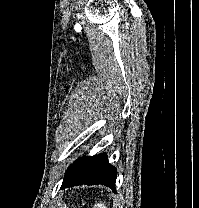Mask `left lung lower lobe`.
Masks as SVG:
<instances>
[{
  "label": "left lung lower lobe",
  "mask_w": 199,
  "mask_h": 208,
  "mask_svg": "<svg viewBox=\"0 0 199 208\" xmlns=\"http://www.w3.org/2000/svg\"><path fill=\"white\" fill-rule=\"evenodd\" d=\"M116 175V168L108 163L107 155L102 153L93 157L78 159L69 167L61 188L83 184H102L115 191Z\"/></svg>",
  "instance_id": "1"
}]
</instances>
